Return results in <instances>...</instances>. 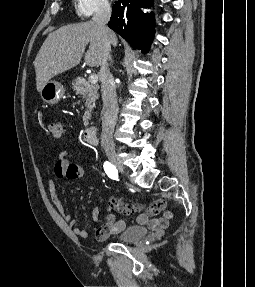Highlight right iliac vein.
Listing matches in <instances>:
<instances>
[{
    "label": "right iliac vein",
    "instance_id": "right-iliac-vein-1",
    "mask_svg": "<svg viewBox=\"0 0 255 287\" xmlns=\"http://www.w3.org/2000/svg\"><path fill=\"white\" fill-rule=\"evenodd\" d=\"M105 152H106L108 159L111 161V163H113L119 169V171L124 172L123 166L118 158V155L115 149L112 147H108L105 149Z\"/></svg>",
    "mask_w": 255,
    "mask_h": 287
}]
</instances>
